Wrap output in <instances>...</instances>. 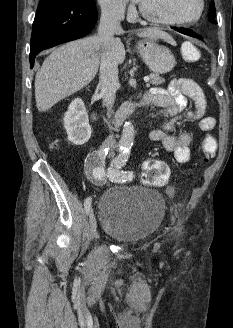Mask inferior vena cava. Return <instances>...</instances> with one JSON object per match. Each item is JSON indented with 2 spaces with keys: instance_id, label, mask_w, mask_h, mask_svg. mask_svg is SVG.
<instances>
[{
  "instance_id": "1",
  "label": "inferior vena cava",
  "mask_w": 233,
  "mask_h": 328,
  "mask_svg": "<svg viewBox=\"0 0 233 328\" xmlns=\"http://www.w3.org/2000/svg\"><path fill=\"white\" fill-rule=\"evenodd\" d=\"M125 4L119 0H113L102 5L101 18L98 28V37L103 44L100 61L99 87L101 95L108 109L113 107L116 91L119 87L118 62L112 51L114 33L122 31L120 21L124 18ZM116 140L109 135L102 147L113 148Z\"/></svg>"
}]
</instances>
